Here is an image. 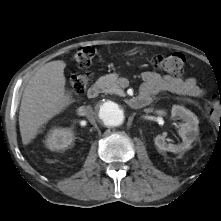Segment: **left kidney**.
<instances>
[{
    "label": "left kidney",
    "instance_id": "1",
    "mask_svg": "<svg viewBox=\"0 0 221 221\" xmlns=\"http://www.w3.org/2000/svg\"><path fill=\"white\" fill-rule=\"evenodd\" d=\"M171 115L172 117L182 119L184 122L180 124L179 129V135L182 138V143L178 145L167 143L163 135H157L154 141L155 145L160 150L180 153L190 149L191 144L197 139L199 120L194 113L179 105H174L172 107Z\"/></svg>",
    "mask_w": 221,
    "mask_h": 221
}]
</instances>
